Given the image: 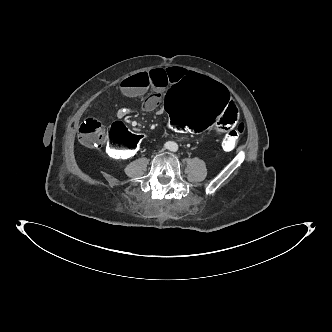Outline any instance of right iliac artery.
Segmentation results:
<instances>
[{
    "label": "right iliac artery",
    "mask_w": 332,
    "mask_h": 332,
    "mask_svg": "<svg viewBox=\"0 0 332 332\" xmlns=\"http://www.w3.org/2000/svg\"><path fill=\"white\" fill-rule=\"evenodd\" d=\"M165 148H166V149H170V148H171V144H170V143H166V144H165Z\"/></svg>",
    "instance_id": "82829eb1"
}]
</instances>
